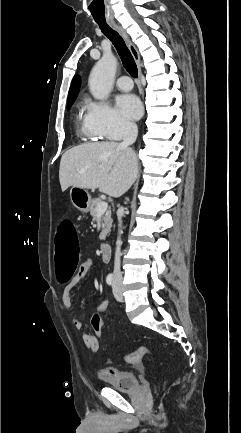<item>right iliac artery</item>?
Masks as SVG:
<instances>
[{
    "instance_id": "right-iliac-artery-1",
    "label": "right iliac artery",
    "mask_w": 241,
    "mask_h": 433,
    "mask_svg": "<svg viewBox=\"0 0 241 433\" xmlns=\"http://www.w3.org/2000/svg\"><path fill=\"white\" fill-rule=\"evenodd\" d=\"M106 282L108 285H112L113 284V276L112 275H108L106 277Z\"/></svg>"
}]
</instances>
